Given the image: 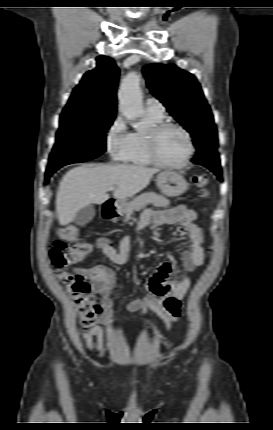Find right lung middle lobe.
Wrapping results in <instances>:
<instances>
[{"label":"right lung middle lobe","mask_w":273,"mask_h":430,"mask_svg":"<svg viewBox=\"0 0 273 430\" xmlns=\"http://www.w3.org/2000/svg\"><path fill=\"white\" fill-rule=\"evenodd\" d=\"M114 118V115L94 116L63 111L46 173L55 172L67 164L89 161L103 154L106 150V132Z\"/></svg>","instance_id":"dd1d6c3e"}]
</instances>
